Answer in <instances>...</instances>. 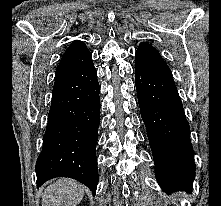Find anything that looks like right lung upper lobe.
I'll return each mask as SVG.
<instances>
[{"mask_svg":"<svg viewBox=\"0 0 221 206\" xmlns=\"http://www.w3.org/2000/svg\"><path fill=\"white\" fill-rule=\"evenodd\" d=\"M92 62V56L85 43L73 41L63 54L56 68V81L64 79Z\"/></svg>","mask_w":221,"mask_h":206,"instance_id":"cb5924a9","label":"right lung upper lobe"}]
</instances>
